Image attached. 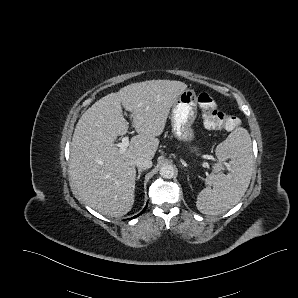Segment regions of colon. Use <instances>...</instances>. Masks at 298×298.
Masks as SVG:
<instances>
[{
  "label": "colon",
  "mask_w": 298,
  "mask_h": 298,
  "mask_svg": "<svg viewBox=\"0 0 298 298\" xmlns=\"http://www.w3.org/2000/svg\"><path fill=\"white\" fill-rule=\"evenodd\" d=\"M197 102L206 128L211 130H233L239 125L237 117L218 110L216 102L210 94L200 93L197 96Z\"/></svg>",
  "instance_id": "1"
}]
</instances>
